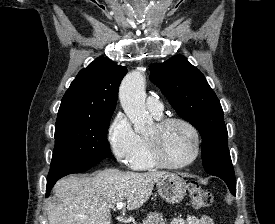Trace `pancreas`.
Segmentation results:
<instances>
[{"label":"pancreas","instance_id":"pancreas-1","mask_svg":"<svg viewBox=\"0 0 275 224\" xmlns=\"http://www.w3.org/2000/svg\"><path fill=\"white\" fill-rule=\"evenodd\" d=\"M142 224H166V220L163 218L162 213L152 212L148 214Z\"/></svg>","mask_w":275,"mask_h":224}]
</instances>
